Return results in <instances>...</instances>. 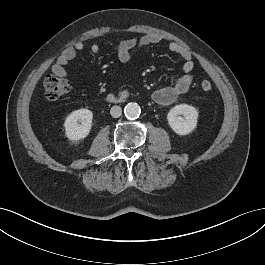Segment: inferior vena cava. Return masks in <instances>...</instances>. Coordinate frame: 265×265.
<instances>
[{
  "mask_svg": "<svg viewBox=\"0 0 265 265\" xmlns=\"http://www.w3.org/2000/svg\"><path fill=\"white\" fill-rule=\"evenodd\" d=\"M110 114L114 118H118L122 114V109L120 106H113L110 110Z\"/></svg>",
  "mask_w": 265,
  "mask_h": 265,
  "instance_id": "obj_1",
  "label": "inferior vena cava"
}]
</instances>
